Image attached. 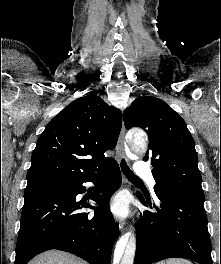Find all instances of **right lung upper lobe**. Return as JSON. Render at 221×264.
I'll use <instances>...</instances> for the list:
<instances>
[{
    "mask_svg": "<svg viewBox=\"0 0 221 264\" xmlns=\"http://www.w3.org/2000/svg\"><path fill=\"white\" fill-rule=\"evenodd\" d=\"M121 125V111L97 95L71 102L39 137L25 190L100 172L113 161L104 153L115 148Z\"/></svg>",
    "mask_w": 221,
    "mask_h": 264,
    "instance_id": "obj_1",
    "label": "right lung upper lobe"
}]
</instances>
